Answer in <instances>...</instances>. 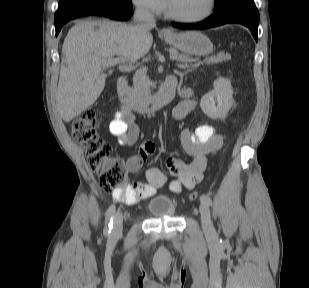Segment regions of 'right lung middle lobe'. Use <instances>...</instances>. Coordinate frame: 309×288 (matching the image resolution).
Segmentation results:
<instances>
[{
	"mask_svg": "<svg viewBox=\"0 0 309 288\" xmlns=\"http://www.w3.org/2000/svg\"><path fill=\"white\" fill-rule=\"evenodd\" d=\"M99 1V0H61L58 6V10L55 13V19L61 17L66 14L70 10L79 7L85 3ZM110 2H123V3H131V0H105Z\"/></svg>",
	"mask_w": 309,
	"mask_h": 288,
	"instance_id": "right-lung-middle-lobe-1",
	"label": "right lung middle lobe"
}]
</instances>
